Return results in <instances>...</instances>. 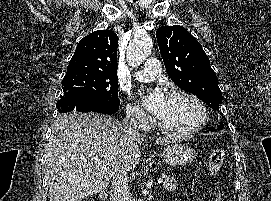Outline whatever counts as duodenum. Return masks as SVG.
Segmentation results:
<instances>
[{"instance_id":"obj_1","label":"duodenum","mask_w":271,"mask_h":201,"mask_svg":"<svg viewBox=\"0 0 271 201\" xmlns=\"http://www.w3.org/2000/svg\"><path fill=\"white\" fill-rule=\"evenodd\" d=\"M107 196L108 194L106 190L101 191L99 194L100 201H107Z\"/></svg>"}]
</instances>
